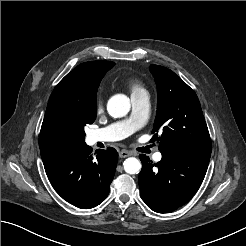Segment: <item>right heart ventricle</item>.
Here are the masks:
<instances>
[{
	"instance_id": "1",
	"label": "right heart ventricle",
	"mask_w": 246,
	"mask_h": 246,
	"mask_svg": "<svg viewBox=\"0 0 246 246\" xmlns=\"http://www.w3.org/2000/svg\"><path fill=\"white\" fill-rule=\"evenodd\" d=\"M129 87L131 90V95H136L140 93H147L144 86L139 81H130Z\"/></svg>"
}]
</instances>
